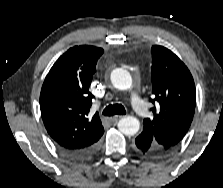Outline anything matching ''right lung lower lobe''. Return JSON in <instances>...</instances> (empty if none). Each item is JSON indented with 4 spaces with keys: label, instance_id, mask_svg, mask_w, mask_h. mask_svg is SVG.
Instances as JSON below:
<instances>
[{
    "label": "right lung lower lobe",
    "instance_id": "1",
    "mask_svg": "<svg viewBox=\"0 0 223 188\" xmlns=\"http://www.w3.org/2000/svg\"><path fill=\"white\" fill-rule=\"evenodd\" d=\"M58 146V145H57ZM59 149L69 158L74 160H86L92 157L98 149V142L82 149H67L58 146Z\"/></svg>",
    "mask_w": 223,
    "mask_h": 188
}]
</instances>
